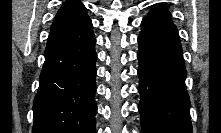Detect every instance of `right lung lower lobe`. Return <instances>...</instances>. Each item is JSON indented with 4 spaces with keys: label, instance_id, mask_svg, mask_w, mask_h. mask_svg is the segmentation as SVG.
Here are the masks:
<instances>
[{
    "label": "right lung lower lobe",
    "instance_id": "98d812e1",
    "mask_svg": "<svg viewBox=\"0 0 221 133\" xmlns=\"http://www.w3.org/2000/svg\"><path fill=\"white\" fill-rule=\"evenodd\" d=\"M95 43L91 33L78 43L46 46L32 133H95Z\"/></svg>",
    "mask_w": 221,
    "mask_h": 133
}]
</instances>
